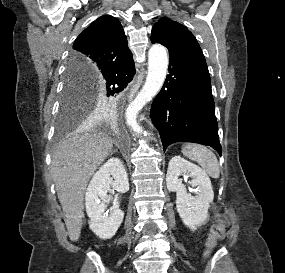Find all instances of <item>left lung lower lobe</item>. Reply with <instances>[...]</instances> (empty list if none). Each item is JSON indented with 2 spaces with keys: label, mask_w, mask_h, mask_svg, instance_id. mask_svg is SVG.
Instances as JSON below:
<instances>
[{
  "label": "left lung lower lobe",
  "mask_w": 285,
  "mask_h": 273,
  "mask_svg": "<svg viewBox=\"0 0 285 273\" xmlns=\"http://www.w3.org/2000/svg\"><path fill=\"white\" fill-rule=\"evenodd\" d=\"M169 56V74L150 110L164 151L175 142H194L221 155L208 68L176 51L169 50Z\"/></svg>",
  "instance_id": "0a47b994"
}]
</instances>
